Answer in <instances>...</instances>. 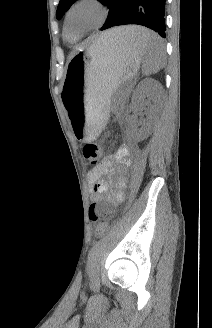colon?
I'll return each mask as SVG.
<instances>
[{"label": "colon", "mask_w": 212, "mask_h": 328, "mask_svg": "<svg viewBox=\"0 0 212 328\" xmlns=\"http://www.w3.org/2000/svg\"><path fill=\"white\" fill-rule=\"evenodd\" d=\"M83 155L92 165L96 164L101 155V147L97 143H87L83 147ZM107 213V207L98 202L93 203L89 208V218L96 224V232L103 235L106 231L107 224L103 221Z\"/></svg>", "instance_id": "colon-1"}]
</instances>
